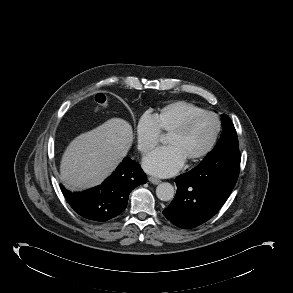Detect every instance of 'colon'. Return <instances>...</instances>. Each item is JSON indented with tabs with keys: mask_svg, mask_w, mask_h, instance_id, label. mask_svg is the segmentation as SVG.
<instances>
[{
	"mask_svg": "<svg viewBox=\"0 0 293 293\" xmlns=\"http://www.w3.org/2000/svg\"><path fill=\"white\" fill-rule=\"evenodd\" d=\"M94 101L96 104L97 111L105 110L108 107V98L103 93L96 94L94 97Z\"/></svg>",
	"mask_w": 293,
	"mask_h": 293,
	"instance_id": "obj_1",
	"label": "colon"
}]
</instances>
